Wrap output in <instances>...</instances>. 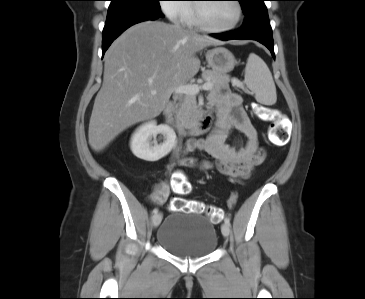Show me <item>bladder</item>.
I'll use <instances>...</instances> for the list:
<instances>
[{
  "label": "bladder",
  "instance_id": "obj_1",
  "mask_svg": "<svg viewBox=\"0 0 365 299\" xmlns=\"http://www.w3.org/2000/svg\"><path fill=\"white\" fill-rule=\"evenodd\" d=\"M156 238L166 251L183 258L208 256L218 245L213 221L183 211L170 214L159 227Z\"/></svg>",
  "mask_w": 365,
  "mask_h": 299
}]
</instances>
